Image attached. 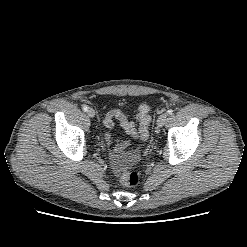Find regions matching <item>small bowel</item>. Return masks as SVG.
Masks as SVG:
<instances>
[{
	"mask_svg": "<svg viewBox=\"0 0 247 247\" xmlns=\"http://www.w3.org/2000/svg\"><path fill=\"white\" fill-rule=\"evenodd\" d=\"M124 159L122 156L115 154L112 159L113 170L116 174H119L123 169Z\"/></svg>",
	"mask_w": 247,
	"mask_h": 247,
	"instance_id": "small-bowel-1",
	"label": "small bowel"
}]
</instances>
